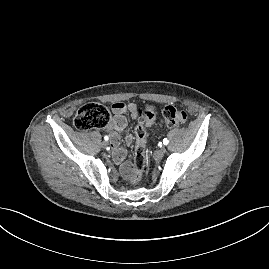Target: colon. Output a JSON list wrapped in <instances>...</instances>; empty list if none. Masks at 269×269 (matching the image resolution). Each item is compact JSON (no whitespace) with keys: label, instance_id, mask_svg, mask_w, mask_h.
I'll return each mask as SVG.
<instances>
[{"label":"colon","instance_id":"1","mask_svg":"<svg viewBox=\"0 0 269 269\" xmlns=\"http://www.w3.org/2000/svg\"><path fill=\"white\" fill-rule=\"evenodd\" d=\"M154 117L155 108L153 106H146L143 109H139V121L135 128L137 144L134 155V173L131 178L133 182L140 180L146 164V128L152 124ZM162 117L168 127L180 126L187 121L186 111L175 106L164 107ZM110 118V111L105 105L88 103L80 107L77 111L74 117V125L78 130L82 131L104 128L109 124Z\"/></svg>","mask_w":269,"mask_h":269}]
</instances>
